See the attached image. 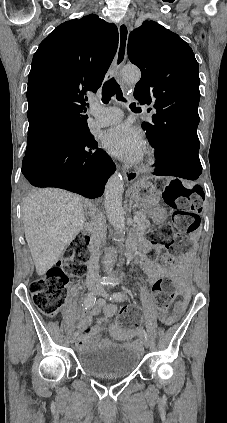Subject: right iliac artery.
<instances>
[{"label":"right iliac artery","instance_id":"right-iliac-artery-1","mask_svg":"<svg viewBox=\"0 0 227 423\" xmlns=\"http://www.w3.org/2000/svg\"><path fill=\"white\" fill-rule=\"evenodd\" d=\"M95 301H96L95 294L94 293H91V292L90 293H87L86 294L85 301H84L85 309H91L94 306ZM74 335L77 336L78 335V332L76 331L74 333Z\"/></svg>","mask_w":227,"mask_h":423}]
</instances>
